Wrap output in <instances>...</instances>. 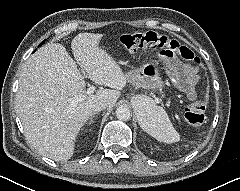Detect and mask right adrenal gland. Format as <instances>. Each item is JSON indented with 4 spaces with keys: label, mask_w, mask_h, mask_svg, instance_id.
I'll return each mask as SVG.
<instances>
[{
    "label": "right adrenal gland",
    "mask_w": 240,
    "mask_h": 191,
    "mask_svg": "<svg viewBox=\"0 0 240 191\" xmlns=\"http://www.w3.org/2000/svg\"><path fill=\"white\" fill-rule=\"evenodd\" d=\"M95 115H96V113H94V114H92V115H91V117H90V120H89L88 124H91V123H93V119H94Z\"/></svg>",
    "instance_id": "1"
}]
</instances>
